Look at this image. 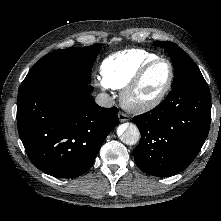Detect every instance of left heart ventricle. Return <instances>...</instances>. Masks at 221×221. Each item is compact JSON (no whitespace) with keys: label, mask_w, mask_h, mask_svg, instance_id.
Segmentation results:
<instances>
[{"label":"left heart ventricle","mask_w":221,"mask_h":221,"mask_svg":"<svg viewBox=\"0 0 221 221\" xmlns=\"http://www.w3.org/2000/svg\"><path fill=\"white\" fill-rule=\"evenodd\" d=\"M169 77V67L161 62L153 66L146 74L135 92V99L147 100L156 96L166 84Z\"/></svg>","instance_id":"b2bd125f"}]
</instances>
